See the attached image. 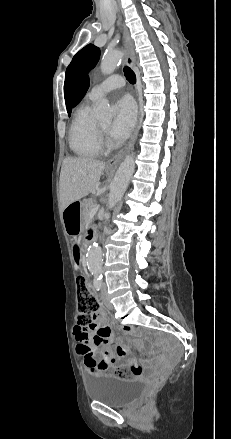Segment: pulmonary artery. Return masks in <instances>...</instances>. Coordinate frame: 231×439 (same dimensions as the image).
Here are the masks:
<instances>
[{"label":"pulmonary artery","mask_w":231,"mask_h":439,"mask_svg":"<svg viewBox=\"0 0 231 439\" xmlns=\"http://www.w3.org/2000/svg\"><path fill=\"white\" fill-rule=\"evenodd\" d=\"M125 84L124 78L119 74H113L104 79L99 84L95 85L89 92L88 97L91 100H97L107 93L117 88L123 87Z\"/></svg>","instance_id":"pulmonary-artery-1"}]
</instances>
